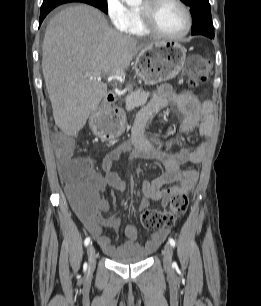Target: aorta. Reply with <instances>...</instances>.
I'll return each instance as SVG.
<instances>
[{
    "mask_svg": "<svg viewBox=\"0 0 261 306\" xmlns=\"http://www.w3.org/2000/svg\"><path fill=\"white\" fill-rule=\"evenodd\" d=\"M129 6L138 5L142 2V0H122Z\"/></svg>",
    "mask_w": 261,
    "mask_h": 306,
    "instance_id": "obj_1",
    "label": "aorta"
}]
</instances>
